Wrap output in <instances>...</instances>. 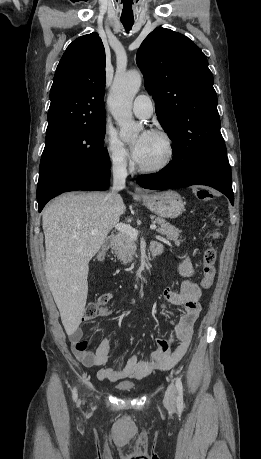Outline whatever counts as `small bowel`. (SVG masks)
<instances>
[{"mask_svg": "<svg viewBox=\"0 0 261 459\" xmlns=\"http://www.w3.org/2000/svg\"><path fill=\"white\" fill-rule=\"evenodd\" d=\"M163 252V247H162ZM97 261L105 259V254L100 252ZM179 272L185 278L180 289L167 288L163 291L161 307L167 313L168 306H176L183 313L177 322H172V330L167 338L156 340V351L146 359H139L137 355L131 356L122 368L102 367L97 376L102 381H118L124 378H143L154 369L167 370L175 366L187 353L192 339L193 327L199 317L201 305L199 303L201 290L193 279L194 268L188 257L179 261ZM111 310L103 307L99 316L110 315ZM71 348L75 357L86 367L105 366L109 360L110 341L103 338L97 348L92 351L87 348V341L83 340V330L75 325L67 329ZM173 342L177 347L170 351Z\"/></svg>", "mask_w": 261, "mask_h": 459, "instance_id": "c3829d8e", "label": "small bowel"}]
</instances>
